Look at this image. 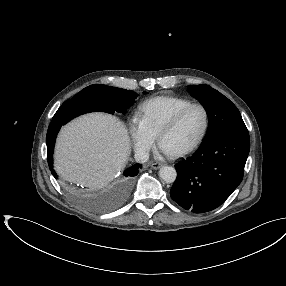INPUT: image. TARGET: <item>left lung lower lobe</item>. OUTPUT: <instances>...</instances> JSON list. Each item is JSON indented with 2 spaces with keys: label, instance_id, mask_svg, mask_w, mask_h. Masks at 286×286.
<instances>
[{
  "label": "left lung lower lobe",
  "instance_id": "0a47b994",
  "mask_svg": "<svg viewBox=\"0 0 286 286\" xmlns=\"http://www.w3.org/2000/svg\"><path fill=\"white\" fill-rule=\"evenodd\" d=\"M249 150L248 133L219 134L202 141L190 158L175 165L172 199L194 213L219 207L241 183Z\"/></svg>",
  "mask_w": 286,
  "mask_h": 286
}]
</instances>
